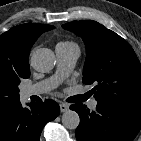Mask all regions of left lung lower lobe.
I'll list each match as a JSON object with an SVG mask.
<instances>
[{"instance_id":"1","label":"left lung lower lobe","mask_w":141,"mask_h":141,"mask_svg":"<svg viewBox=\"0 0 141 141\" xmlns=\"http://www.w3.org/2000/svg\"><path fill=\"white\" fill-rule=\"evenodd\" d=\"M80 117L77 141H132L141 128V112L98 103L90 112L86 105L74 104Z\"/></svg>"}]
</instances>
